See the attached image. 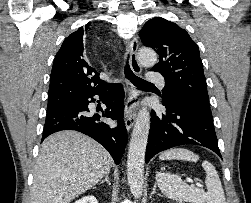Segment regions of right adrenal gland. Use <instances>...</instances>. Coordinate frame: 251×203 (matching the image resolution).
<instances>
[{
    "label": "right adrenal gland",
    "instance_id": "right-adrenal-gland-1",
    "mask_svg": "<svg viewBox=\"0 0 251 203\" xmlns=\"http://www.w3.org/2000/svg\"><path fill=\"white\" fill-rule=\"evenodd\" d=\"M107 182L108 185H111L109 181V173L106 174L105 178L100 182V184Z\"/></svg>",
    "mask_w": 251,
    "mask_h": 203
}]
</instances>
